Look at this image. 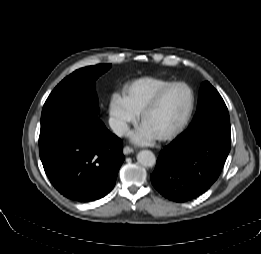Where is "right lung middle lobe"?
<instances>
[{
    "label": "right lung middle lobe",
    "instance_id": "dd1d6c3e",
    "mask_svg": "<svg viewBox=\"0 0 261 254\" xmlns=\"http://www.w3.org/2000/svg\"><path fill=\"white\" fill-rule=\"evenodd\" d=\"M110 67L111 64H100L76 70L54 88L44 105L75 102L97 114L99 109L95 81Z\"/></svg>",
    "mask_w": 261,
    "mask_h": 254
}]
</instances>
